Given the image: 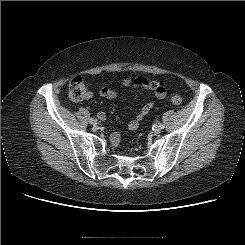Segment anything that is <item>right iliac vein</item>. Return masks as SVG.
<instances>
[{
  "instance_id": "obj_1",
  "label": "right iliac vein",
  "mask_w": 245,
  "mask_h": 245,
  "mask_svg": "<svg viewBox=\"0 0 245 245\" xmlns=\"http://www.w3.org/2000/svg\"><path fill=\"white\" fill-rule=\"evenodd\" d=\"M91 124H93L94 126L97 125V121H93Z\"/></svg>"
}]
</instances>
